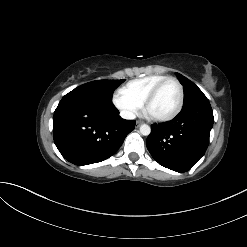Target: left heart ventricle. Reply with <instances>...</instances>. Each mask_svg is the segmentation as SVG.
Returning <instances> with one entry per match:
<instances>
[{
    "label": "left heart ventricle",
    "mask_w": 247,
    "mask_h": 247,
    "mask_svg": "<svg viewBox=\"0 0 247 247\" xmlns=\"http://www.w3.org/2000/svg\"><path fill=\"white\" fill-rule=\"evenodd\" d=\"M178 102L179 89L174 82H168L148 105L147 111L152 116H167L176 109Z\"/></svg>",
    "instance_id": "left-heart-ventricle-1"
}]
</instances>
